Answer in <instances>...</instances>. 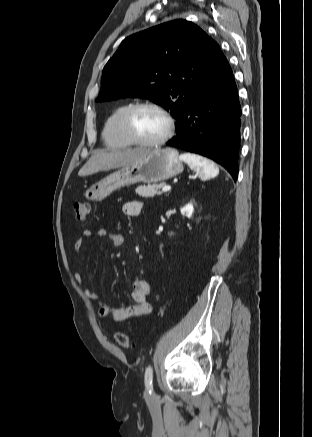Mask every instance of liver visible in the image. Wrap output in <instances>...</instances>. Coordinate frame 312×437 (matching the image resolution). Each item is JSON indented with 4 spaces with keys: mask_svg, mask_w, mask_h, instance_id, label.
Returning <instances> with one entry per match:
<instances>
[{
    "mask_svg": "<svg viewBox=\"0 0 312 437\" xmlns=\"http://www.w3.org/2000/svg\"><path fill=\"white\" fill-rule=\"evenodd\" d=\"M145 149H127L122 151L106 152L99 150L93 154L86 164L80 169L79 176H88L100 171H107L130 164L146 153Z\"/></svg>",
    "mask_w": 312,
    "mask_h": 437,
    "instance_id": "obj_1",
    "label": "liver"
}]
</instances>
